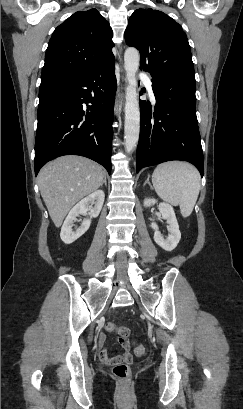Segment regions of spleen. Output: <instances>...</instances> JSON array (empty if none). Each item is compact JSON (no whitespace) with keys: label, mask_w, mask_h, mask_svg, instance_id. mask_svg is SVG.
I'll return each mask as SVG.
<instances>
[{"label":"spleen","mask_w":243,"mask_h":409,"mask_svg":"<svg viewBox=\"0 0 243 409\" xmlns=\"http://www.w3.org/2000/svg\"><path fill=\"white\" fill-rule=\"evenodd\" d=\"M152 183L162 200L179 205L183 217L192 213L200 191V174L194 166L179 161L160 164L152 174Z\"/></svg>","instance_id":"obj_1"}]
</instances>
